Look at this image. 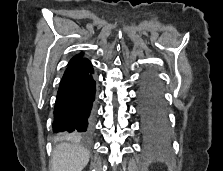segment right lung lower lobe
Masks as SVG:
<instances>
[{
  "label": "right lung lower lobe",
  "mask_w": 223,
  "mask_h": 171,
  "mask_svg": "<svg viewBox=\"0 0 223 171\" xmlns=\"http://www.w3.org/2000/svg\"><path fill=\"white\" fill-rule=\"evenodd\" d=\"M93 72L87 59L67 67L54 108L53 131L56 134L83 140L90 138L96 91Z\"/></svg>",
  "instance_id": "98d812e1"
}]
</instances>
